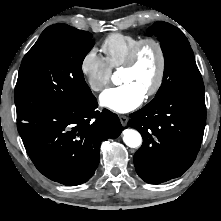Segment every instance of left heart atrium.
<instances>
[{"label":"left heart atrium","mask_w":221,"mask_h":221,"mask_svg":"<svg viewBox=\"0 0 221 221\" xmlns=\"http://www.w3.org/2000/svg\"><path fill=\"white\" fill-rule=\"evenodd\" d=\"M145 93L133 83L105 90L100 96V104L118 113H127L137 108L144 100Z\"/></svg>","instance_id":"39dd6f15"}]
</instances>
